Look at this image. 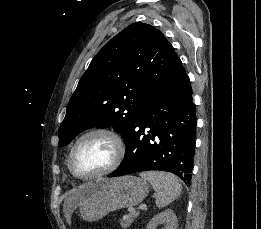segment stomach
I'll use <instances>...</instances> for the list:
<instances>
[{
    "label": "stomach",
    "instance_id": "obj_1",
    "mask_svg": "<svg viewBox=\"0 0 261 229\" xmlns=\"http://www.w3.org/2000/svg\"><path fill=\"white\" fill-rule=\"evenodd\" d=\"M91 193L82 201L80 215L84 221H99L111 211L134 207L142 203L149 193V185L139 177H118L112 181L95 179L85 183Z\"/></svg>",
    "mask_w": 261,
    "mask_h": 229
}]
</instances>
